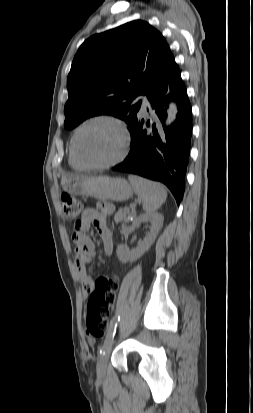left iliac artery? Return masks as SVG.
<instances>
[{
  "instance_id": "left-iliac-artery-1",
  "label": "left iliac artery",
  "mask_w": 253,
  "mask_h": 413,
  "mask_svg": "<svg viewBox=\"0 0 253 413\" xmlns=\"http://www.w3.org/2000/svg\"><path fill=\"white\" fill-rule=\"evenodd\" d=\"M119 319H120L119 317H114L112 319L109 331L106 335L104 345H103L102 349L100 350V353H102L106 347H109V346L112 345L113 338H114L115 333H116V328H117V324H118Z\"/></svg>"
}]
</instances>
